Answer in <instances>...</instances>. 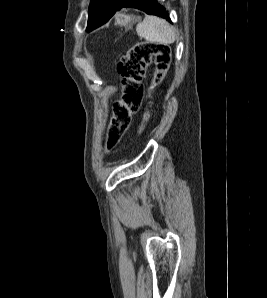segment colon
<instances>
[{
    "label": "colon",
    "mask_w": 267,
    "mask_h": 298,
    "mask_svg": "<svg viewBox=\"0 0 267 298\" xmlns=\"http://www.w3.org/2000/svg\"><path fill=\"white\" fill-rule=\"evenodd\" d=\"M151 63L154 69L150 83V99L138 127V134L144 131L150 119L153 96L169 70L171 52L169 46L163 43L138 42L121 58L118 72L123 79V99L113 112L105 140L107 151L118 144L123 132L130 125L133 114L139 109L143 97L142 79L146 67Z\"/></svg>",
    "instance_id": "1"
}]
</instances>
